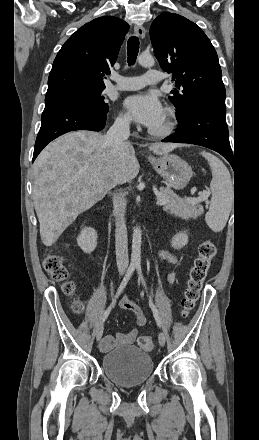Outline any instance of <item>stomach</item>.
Wrapping results in <instances>:
<instances>
[{
	"label": "stomach",
	"mask_w": 259,
	"mask_h": 440,
	"mask_svg": "<svg viewBox=\"0 0 259 440\" xmlns=\"http://www.w3.org/2000/svg\"><path fill=\"white\" fill-rule=\"evenodd\" d=\"M149 162L165 179L167 185L176 190L185 188L192 177V168L177 155L165 154L159 158L151 157Z\"/></svg>",
	"instance_id": "stomach-1"
}]
</instances>
